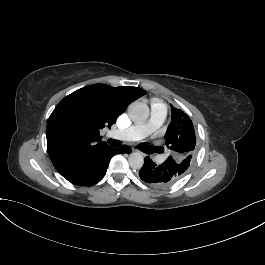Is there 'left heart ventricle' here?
I'll return each instance as SVG.
<instances>
[{
  "mask_svg": "<svg viewBox=\"0 0 265 265\" xmlns=\"http://www.w3.org/2000/svg\"><path fill=\"white\" fill-rule=\"evenodd\" d=\"M150 117H152V116L150 115ZM150 117H149V118H150ZM142 123H144V122H142ZM154 132H155V131H154ZM149 133H153V132H149Z\"/></svg>",
  "mask_w": 265,
  "mask_h": 265,
  "instance_id": "b2bd125f",
  "label": "left heart ventricle"
}]
</instances>
